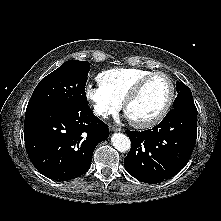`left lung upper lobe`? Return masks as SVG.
<instances>
[{
  "label": "left lung upper lobe",
  "instance_id": "5c2ea615",
  "mask_svg": "<svg viewBox=\"0 0 221 221\" xmlns=\"http://www.w3.org/2000/svg\"><path fill=\"white\" fill-rule=\"evenodd\" d=\"M177 97L174 101V108L176 107H193L195 106L191 90L182 82H177Z\"/></svg>",
  "mask_w": 221,
  "mask_h": 221
}]
</instances>
